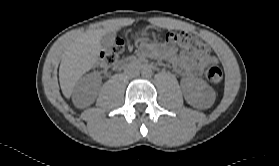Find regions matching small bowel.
<instances>
[{
  "label": "small bowel",
  "instance_id": "1",
  "mask_svg": "<svg viewBox=\"0 0 279 166\" xmlns=\"http://www.w3.org/2000/svg\"><path fill=\"white\" fill-rule=\"evenodd\" d=\"M143 51L146 54H151L156 57L170 58L176 71L185 76L198 75L204 67L216 62V59L209 54L202 55L196 61L189 56H176L170 50L165 48H151L147 46L144 47Z\"/></svg>",
  "mask_w": 279,
  "mask_h": 166
}]
</instances>
